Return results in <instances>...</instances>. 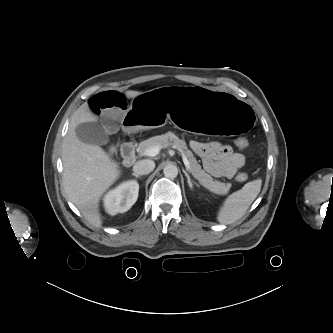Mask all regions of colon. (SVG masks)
I'll list each match as a JSON object with an SVG mask.
<instances>
[{"label":"colon","instance_id":"colon-1","mask_svg":"<svg viewBox=\"0 0 333 333\" xmlns=\"http://www.w3.org/2000/svg\"><path fill=\"white\" fill-rule=\"evenodd\" d=\"M237 147L239 148H246L248 146V141L247 139L243 138V137H240V138H237L236 141H235ZM111 151L113 152L114 151V148L111 149ZM248 178L247 174L246 173H239L236 177V179L239 181V182H244L246 181Z\"/></svg>","mask_w":333,"mask_h":333}]
</instances>
